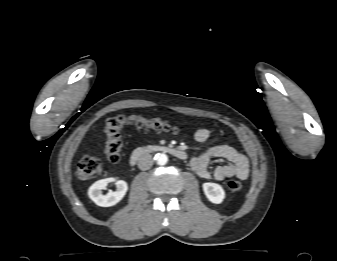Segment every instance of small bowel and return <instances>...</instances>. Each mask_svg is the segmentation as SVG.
Here are the masks:
<instances>
[{
	"label": "small bowel",
	"instance_id": "obj_1",
	"mask_svg": "<svg viewBox=\"0 0 337 261\" xmlns=\"http://www.w3.org/2000/svg\"><path fill=\"white\" fill-rule=\"evenodd\" d=\"M140 116L132 115L130 118L136 119ZM209 130L206 128L198 129L194 138L197 142L203 143L209 138ZM221 158L229 164L219 165L214 170H210L209 164L212 159ZM193 171L203 179L214 178L222 181L227 178L237 177L245 180L249 176V160L243 153L229 145H217L208 148L198 156H194L190 161Z\"/></svg>",
	"mask_w": 337,
	"mask_h": 261
}]
</instances>
